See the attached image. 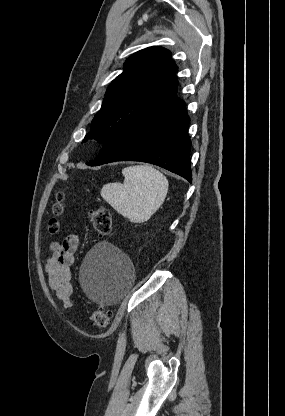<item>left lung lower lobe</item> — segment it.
Wrapping results in <instances>:
<instances>
[{
  "mask_svg": "<svg viewBox=\"0 0 285 416\" xmlns=\"http://www.w3.org/2000/svg\"><path fill=\"white\" fill-rule=\"evenodd\" d=\"M189 121L184 103L176 98L124 126L104 143L95 160L86 164L98 166L115 161L148 162L191 182V141L187 133Z\"/></svg>",
  "mask_w": 285,
  "mask_h": 416,
  "instance_id": "0a47b994",
  "label": "left lung lower lobe"
}]
</instances>
